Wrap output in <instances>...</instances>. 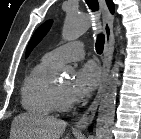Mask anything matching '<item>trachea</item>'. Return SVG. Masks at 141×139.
Masks as SVG:
<instances>
[{
	"label": "trachea",
	"instance_id": "3493384b",
	"mask_svg": "<svg viewBox=\"0 0 141 139\" xmlns=\"http://www.w3.org/2000/svg\"><path fill=\"white\" fill-rule=\"evenodd\" d=\"M89 8L95 12L99 10V3L98 0H85ZM105 43V36L103 34H99L96 39V51L98 54H101L103 52Z\"/></svg>",
	"mask_w": 141,
	"mask_h": 139
}]
</instances>
